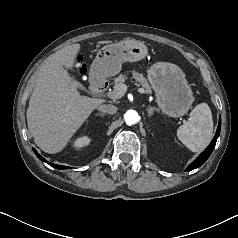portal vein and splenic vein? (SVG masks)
Listing matches in <instances>:
<instances>
[{
	"mask_svg": "<svg viewBox=\"0 0 238 238\" xmlns=\"http://www.w3.org/2000/svg\"><path fill=\"white\" fill-rule=\"evenodd\" d=\"M126 91H127V85L124 84L117 91L113 90V91L107 92V96L112 99H118V98H121L126 93ZM137 91L139 93H146L143 88H138Z\"/></svg>",
	"mask_w": 238,
	"mask_h": 238,
	"instance_id": "obj_1",
	"label": "portal vein and splenic vein"
}]
</instances>
